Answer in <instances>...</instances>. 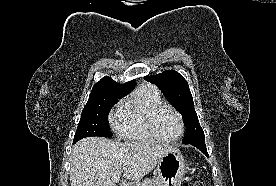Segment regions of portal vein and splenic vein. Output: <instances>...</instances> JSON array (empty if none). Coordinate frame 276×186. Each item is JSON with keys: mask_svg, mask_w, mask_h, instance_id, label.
Wrapping results in <instances>:
<instances>
[{"mask_svg": "<svg viewBox=\"0 0 276 186\" xmlns=\"http://www.w3.org/2000/svg\"><path fill=\"white\" fill-rule=\"evenodd\" d=\"M120 176H121V173H116L113 175V181L114 182H118L120 180ZM126 186H129V185H126Z\"/></svg>", "mask_w": 276, "mask_h": 186, "instance_id": "portal-vein-and-splenic-vein-1", "label": "portal vein and splenic vein"}]
</instances>
